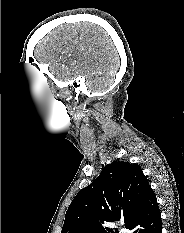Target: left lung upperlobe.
I'll return each mask as SVG.
<instances>
[{
    "instance_id": "left-lung-upper-lobe-1",
    "label": "left lung upper lobe",
    "mask_w": 184,
    "mask_h": 233,
    "mask_svg": "<svg viewBox=\"0 0 184 233\" xmlns=\"http://www.w3.org/2000/svg\"><path fill=\"white\" fill-rule=\"evenodd\" d=\"M151 190L138 165L114 161L72 200L61 233H118L108 223L122 220L128 228Z\"/></svg>"
}]
</instances>
